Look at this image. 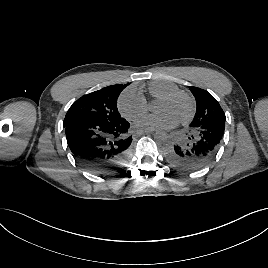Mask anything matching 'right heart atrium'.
<instances>
[{"mask_svg":"<svg viewBox=\"0 0 268 268\" xmlns=\"http://www.w3.org/2000/svg\"><path fill=\"white\" fill-rule=\"evenodd\" d=\"M118 109L127 119L144 118L149 108L144 97L133 89H125L118 98Z\"/></svg>","mask_w":268,"mask_h":268,"instance_id":"obj_1","label":"right heart atrium"}]
</instances>
